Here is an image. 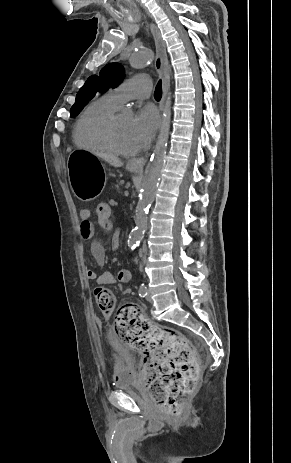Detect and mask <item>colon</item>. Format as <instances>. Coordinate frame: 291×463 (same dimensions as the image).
Instances as JSON below:
<instances>
[{"mask_svg": "<svg viewBox=\"0 0 291 463\" xmlns=\"http://www.w3.org/2000/svg\"><path fill=\"white\" fill-rule=\"evenodd\" d=\"M111 216V202L93 205L98 226H111ZM94 298L102 312L114 311L115 297L109 289L98 287ZM115 330L125 344L143 354L141 373L154 400L169 415L179 417L198 378L197 360L188 340L177 330L154 325L138 309L127 305L116 313Z\"/></svg>", "mask_w": 291, "mask_h": 463, "instance_id": "5ec220e1", "label": "colon"}]
</instances>
